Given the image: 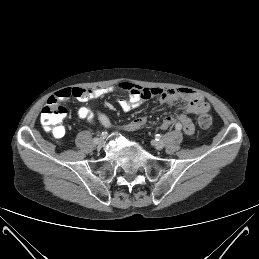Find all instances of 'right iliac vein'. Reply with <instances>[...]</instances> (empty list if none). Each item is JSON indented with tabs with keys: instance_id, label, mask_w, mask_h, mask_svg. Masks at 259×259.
<instances>
[{
	"instance_id": "obj_1",
	"label": "right iliac vein",
	"mask_w": 259,
	"mask_h": 259,
	"mask_svg": "<svg viewBox=\"0 0 259 259\" xmlns=\"http://www.w3.org/2000/svg\"><path fill=\"white\" fill-rule=\"evenodd\" d=\"M96 144L98 147H103L105 145V140L103 138H99V141Z\"/></svg>"
}]
</instances>
